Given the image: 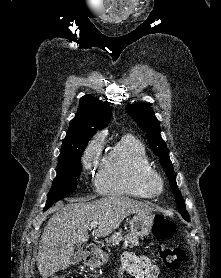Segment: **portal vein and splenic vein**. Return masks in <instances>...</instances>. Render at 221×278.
I'll return each mask as SVG.
<instances>
[{
    "label": "portal vein and splenic vein",
    "instance_id": "1",
    "mask_svg": "<svg viewBox=\"0 0 221 278\" xmlns=\"http://www.w3.org/2000/svg\"><path fill=\"white\" fill-rule=\"evenodd\" d=\"M97 225H98V222H92L91 224H90V227L92 228V229H94V228H96L97 227Z\"/></svg>",
    "mask_w": 221,
    "mask_h": 278
}]
</instances>
